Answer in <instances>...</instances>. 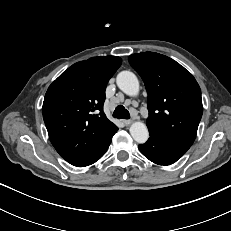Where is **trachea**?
Here are the masks:
<instances>
[{"instance_id": "trachea-1", "label": "trachea", "mask_w": 231, "mask_h": 231, "mask_svg": "<svg viewBox=\"0 0 231 231\" xmlns=\"http://www.w3.org/2000/svg\"><path fill=\"white\" fill-rule=\"evenodd\" d=\"M113 117L118 119H130V114L124 106L119 105L113 112Z\"/></svg>"}]
</instances>
